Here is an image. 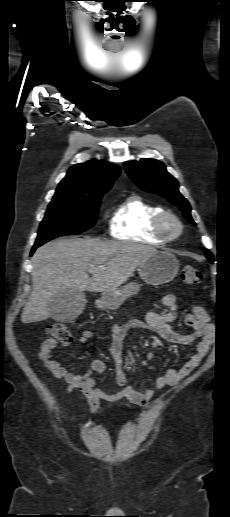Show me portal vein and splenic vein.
Wrapping results in <instances>:
<instances>
[{"label":"portal vein and splenic vein","instance_id":"18ae733b","mask_svg":"<svg viewBox=\"0 0 230 517\" xmlns=\"http://www.w3.org/2000/svg\"><path fill=\"white\" fill-rule=\"evenodd\" d=\"M97 269H98L97 267L91 266V267H89L88 271L90 273H94Z\"/></svg>","mask_w":230,"mask_h":517}]
</instances>
